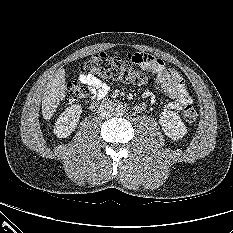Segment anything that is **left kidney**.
<instances>
[{"mask_svg": "<svg viewBox=\"0 0 233 233\" xmlns=\"http://www.w3.org/2000/svg\"><path fill=\"white\" fill-rule=\"evenodd\" d=\"M159 122L164 133L172 140H179L187 134L186 126L176 112L163 111Z\"/></svg>", "mask_w": 233, "mask_h": 233, "instance_id": "5707ae66", "label": "left kidney"}]
</instances>
